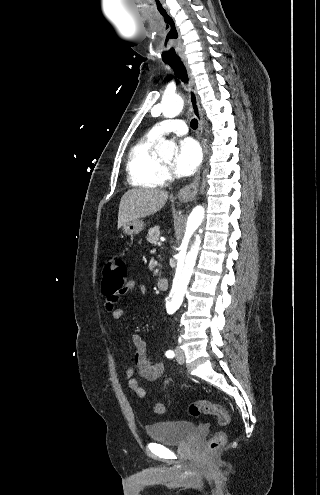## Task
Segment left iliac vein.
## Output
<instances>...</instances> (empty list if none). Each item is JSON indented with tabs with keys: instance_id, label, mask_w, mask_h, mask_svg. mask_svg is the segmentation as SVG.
I'll use <instances>...</instances> for the list:
<instances>
[{
	"instance_id": "left-iliac-vein-1",
	"label": "left iliac vein",
	"mask_w": 320,
	"mask_h": 495,
	"mask_svg": "<svg viewBox=\"0 0 320 495\" xmlns=\"http://www.w3.org/2000/svg\"><path fill=\"white\" fill-rule=\"evenodd\" d=\"M175 354H176V361L181 365L184 364L185 354H184L183 350L180 347L176 346L175 347Z\"/></svg>"
}]
</instances>
